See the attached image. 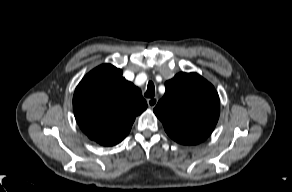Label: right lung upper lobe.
I'll use <instances>...</instances> for the list:
<instances>
[{
  "instance_id": "right-lung-upper-lobe-1",
  "label": "right lung upper lobe",
  "mask_w": 292,
  "mask_h": 192,
  "mask_svg": "<svg viewBox=\"0 0 292 192\" xmlns=\"http://www.w3.org/2000/svg\"><path fill=\"white\" fill-rule=\"evenodd\" d=\"M147 108L141 91L122 77V71L103 64L90 71L77 86L73 109L81 130L103 146L121 142L137 115Z\"/></svg>"
}]
</instances>
